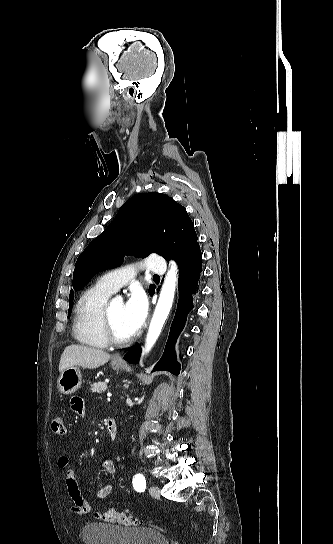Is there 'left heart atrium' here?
I'll list each match as a JSON object with an SVG mask.
<instances>
[{
	"label": "left heart atrium",
	"mask_w": 333,
	"mask_h": 544,
	"mask_svg": "<svg viewBox=\"0 0 333 544\" xmlns=\"http://www.w3.org/2000/svg\"><path fill=\"white\" fill-rule=\"evenodd\" d=\"M148 312L146 295L140 289L134 290L124 304L125 322L132 333L137 332L143 325Z\"/></svg>",
	"instance_id": "39dd6f15"
}]
</instances>
